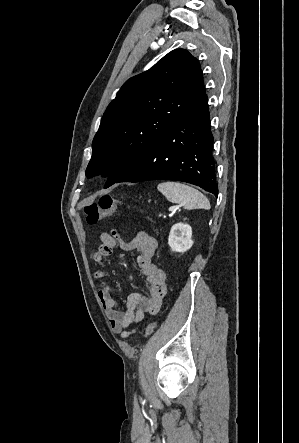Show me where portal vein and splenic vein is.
Masks as SVG:
<instances>
[{
    "label": "portal vein and splenic vein",
    "instance_id": "portal-vein-and-splenic-vein-1",
    "mask_svg": "<svg viewBox=\"0 0 299 443\" xmlns=\"http://www.w3.org/2000/svg\"><path fill=\"white\" fill-rule=\"evenodd\" d=\"M173 210H174V207H170V208H169V211H173Z\"/></svg>",
    "mask_w": 299,
    "mask_h": 443
}]
</instances>
